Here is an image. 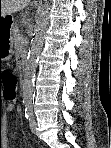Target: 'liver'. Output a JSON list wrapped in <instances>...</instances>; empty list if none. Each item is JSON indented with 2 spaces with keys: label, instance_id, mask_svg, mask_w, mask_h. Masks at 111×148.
Instances as JSON below:
<instances>
[{
  "label": "liver",
  "instance_id": "obj_1",
  "mask_svg": "<svg viewBox=\"0 0 111 148\" xmlns=\"http://www.w3.org/2000/svg\"><path fill=\"white\" fill-rule=\"evenodd\" d=\"M31 0H1L0 15L2 17L20 11L30 4ZM36 2V1H34Z\"/></svg>",
  "mask_w": 111,
  "mask_h": 148
}]
</instances>
